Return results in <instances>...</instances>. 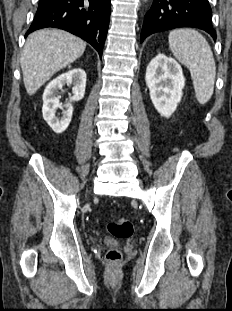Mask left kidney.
<instances>
[{"mask_svg": "<svg viewBox=\"0 0 232 311\" xmlns=\"http://www.w3.org/2000/svg\"><path fill=\"white\" fill-rule=\"evenodd\" d=\"M145 80L155 109L169 118L183 96L185 79L181 66L174 59L158 54L148 64Z\"/></svg>", "mask_w": 232, "mask_h": 311, "instance_id": "obj_1", "label": "left kidney"}]
</instances>
